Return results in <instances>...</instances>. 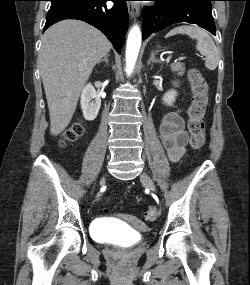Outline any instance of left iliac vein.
Masks as SVG:
<instances>
[{
	"mask_svg": "<svg viewBox=\"0 0 250 285\" xmlns=\"http://www.w3.org/2000/svg\"><path fill=\"white\" fill-rule=\"evenodd\" d=\"M141 180L143 182L146 183V185L148 186V188L152 191V192H156V187L152 181V179L146 174V173H142L140 176Z\"/></svg>",
	"mask_w": 250,
	"mask_h": 285,
	"instance_id": "obj_1",
	"label": "left iliac vein"
}]
</instances>
